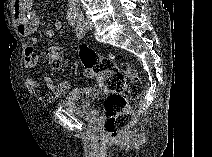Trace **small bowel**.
Segmentation results:
<instances>
[{"label": "small bowel", "mask_w": 212, "mask_h": 157, "mask_svg": "<svg viewBox=\"0 0 212 157\" xmlns=\"http://www.w3.org/2000/svg\"><path fill=\"white\" fill-rule=\"evenodd\" d=\"M13 16L16 20L19 34L25 40L24 46V66L33 68L39 62V57L36 52L37 39L34 33L40 26V19L33 9L31 0H16L12 6ZM63 28V23L60 20L55 21L54 27L45 31L46 37H53L56 31ZM44 81L50 92L46 95L48 102H54L57 98L64 96L70 89V83L67 80L61 81L58 85L55 84L53 78L45 74ZM25 83L31 88H39V83L30 77L25 78Z\"/></svg>", "instance_id": "small-bowel-1"}]
</instances>
